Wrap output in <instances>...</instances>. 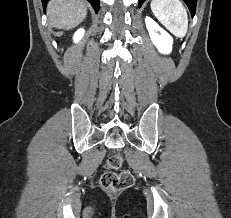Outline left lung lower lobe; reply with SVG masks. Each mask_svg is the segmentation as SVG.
I'll list each match as a JSON object with an SVG mask.
<instances>
[{
	"instance_id": "left-lung-lower-lobe-1",
	"label": "left lung lower lobe",
	"mask_w": 231,
	"mask_h": 218,
	"mask_svg": "<svg viewBox=\"0 0 231 218\" xmlns=\"http://www.w3.org/2000/svg\"><path fill=\"white\" fill-rule=\"evenodd\" d=\"M145 0H139V6H141L143 4ZM186 5L188 6L190 12H191V15L194 16L195 14V11H196V3H197V0H183Z\"/></svg>"
}]
</instances>
